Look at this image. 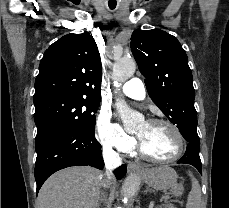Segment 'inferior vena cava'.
I'll list each match as a JSON object with an SVG mask.
<instances>
[{
    "mask_svg": "<svg viewBox=\"0 0 229 208\" xmlns=\"http://www.w3.org/2000/svg\"><path fill=\"white\" fill-rule=\"evenodd\" d=\"M103 158L105 162V168L107 172H105L104 176H107L106 180H103V186H109V180L112 178L111 172L116 166V164H121V158H119L116 152H111V150H103Z\"/></svg>",
    "mask_w": 229,
    "mask_h": 208,
    "instance_id": "602c4592",
    "label": "inferior vena cava"
}]
</instances>
